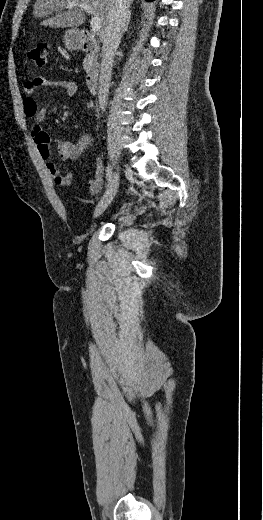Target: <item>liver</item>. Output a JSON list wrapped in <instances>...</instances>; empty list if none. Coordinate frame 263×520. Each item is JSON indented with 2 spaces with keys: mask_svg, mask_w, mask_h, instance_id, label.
<instances>
[{
  "mask_svg": "<svg viewBox=\"0 0 263 520\" xmlns=\"http://www.w3.org/2000/svg\"><path fill=\"white\" fill-rule=\"evenodd\" d=\"M132 1L130 0V3ZM69 2L85 4L93 9V14L101 21L100 37L103 39L110 21L113 0H36L33 15L35 18H41L55 12V15L42 22L43 26L51 28H77L84 24L86 20L85 10L79 5L69 7Z\"/></svg>",
  "mask_w": 263,
  "mask_h": 520,
  "instance_id": "obj_1",
  "label": "liver"
}]
</instances>
